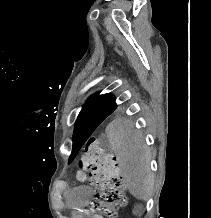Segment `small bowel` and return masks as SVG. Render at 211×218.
Returning a JSON list of instances; mask_svg holds the SVG:
<instances>
[{
  "instance_id": "c3829d8e",
  "label": "small bowel",
  "mask_w": 211,
  "mask_h": 218,
  "mask_svg": "<svg viewBox=\"0 0 211 218\" xmlns=\"http://www.w3.org/2000/svg\"><path fill=\"white\" fill-rule=\"evenodd\" d=\"M93 190L89 186L67 188L64 197L68 205L77 207L86 204L93 195Z\"/></svg>"
}]
</instances>
